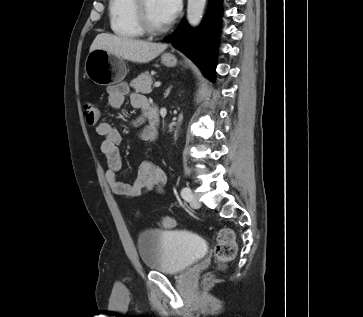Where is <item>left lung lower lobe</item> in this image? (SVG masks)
<instances>
[{
  "mask_svg": "<svg viewBox=\"0 0 363 317\" xmlns=\"http://www.w3.org/2000/svg\"><path fill=\"white\" fill-rule=\"evenodd\" d=\"M221 0H210L208 13L203 25L192 30L183 22L166 41L187 55L214 81V60L216 56V34L220 18Z\"/></svg>",
  "mask_w": 363,
  "mask_h": 317,
  "instance_id": "left-lung-lower-lobe-1",
  "label": "left lung lower lobe"
}]
</instances>
